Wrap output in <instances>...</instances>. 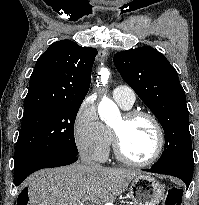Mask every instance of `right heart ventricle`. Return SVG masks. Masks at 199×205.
<instances>
[{"label":"right heart ventricle","mask_w":199,"mask_h":205,"mask_svg":"<svg viewBox=\"0 0 199 205\" xmlns=\"http://www.w3.org/2000/svg\"><path fill=\"white\" fill-rule=\"evenodd\" d=\"M119 105H120L123 109H125V110H129V109H131V107H132V106H126V105H124V104H122V103H119Z\"/></svg>","instance_id":"1"}]
</instances>
